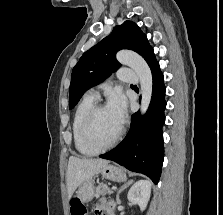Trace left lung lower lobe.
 <instances>
[{
	"instance_id": "0a47b994",
	"label": "left lung lower lobe",
	"mask_w": 223,
	"mask_h": 215,
	"mask_svg": "<svg viewBox=\"0 0 223 215\" xmlns=\"http://www.w3.org/2000/svg\"><path fill=\"white\" fill-rule=\"evenodd\" d=\"M153 91L149 109L142 118L131 116V126L124 140L113 150L100 155L130 171L147 175L158 183L164 158L162 126L165 122V86L159 63L151 67Z\"/></svg>"
}]
</instances>
